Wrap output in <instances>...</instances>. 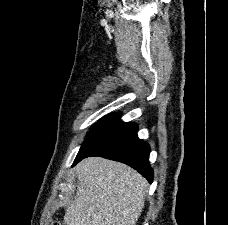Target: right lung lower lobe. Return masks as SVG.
I'll list each match as a JSON object with an SVG mask.
<instances>
[{
    "label": "right lung lower lobe",
    "mask_w": 228,
    "mask_h": 225,
    "mask_svg": "<svg viewBox=\"0 0 228 225\" xmlns=\"http://www.w3.org/2000/svg\"><path fill=\"white\" fill-rule=\"evenodd\" d=\"M137 131L135 123H124L119 115H114L88 135L73 166L89 156L105 157L133 167L151 183L150 147L138 139Z\"/></svg>",
    "instance_id": "right-lung-lower-lobe-1"
}]
</instances>
